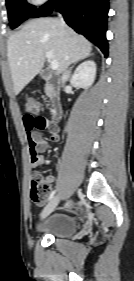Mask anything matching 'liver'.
Segmentation results:
<instances>
[{
    "mask_svg": "<svg viewBox=\"0 0 134 281\" xmlns=\"http://www.w3.org/2000/svg\"><path fill=\"white\" fill-rule=\"evenodd\" d=\"M91 43L59 19L39 18L26 23L7 41V57L14 93L23 88L41 71L46 53L58 62L59 75L70 64L90 55Z\"/></svg>",
    "mask_w": 134,
    "mask_h": 281,
    "instance_id": "1",
    "label": "liver"
}]
</instances>
